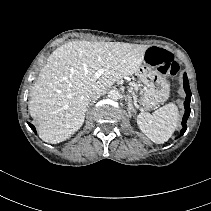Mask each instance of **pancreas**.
Masks as SVG:
<instances>
[{
    "instance_id": "pancreas-1",
    "label": "pancreas",
    "mask_w": 211,
    "mask_h": 211,
    "mask_svg": "<svg viewBox=\"0 0 211 211\" xmlns=\"http://www.w3.org/2000/svg\"><path fill=\"white\" fill-rule=\"evenodd\" d=\"M133 87L135 90H137L139 88V85L135 84Z\"/></svg>"
}]
</instances>
